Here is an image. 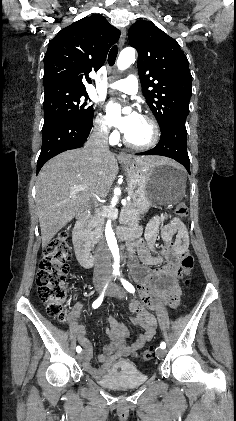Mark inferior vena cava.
Wrapping results in <instances>:
<instances>
[{
  "instance_id": "inferior-vena-cava-1",
  "label": "inferior vena cava",
  "mask_w": 236,
  "mask_h": 421,
  "mask_svg": "<svg viewBox=\"0 0 236 421\" xmlns=\"http://www.w3.org/2000/svg\"><path fill=\"white\" fill-rule=\"evenodd\" d=\"M109 130L105 126H95L91 132L86 148L92 152L93 160L99 162L104 152H110L108 144ZM94 273H111V261L107 257L106 247L101 241L95 253V269Z\"/></svg>"
}]
</instances>
